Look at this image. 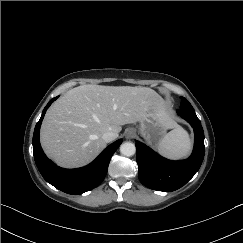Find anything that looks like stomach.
<instances>
[{
  "label": "stomach",
  "mask_w": 243,
  "mask_h": 243,
  "mask_svg": "<svg viewBox=\"0 0 243 243\" xmlns=\"http://www.w3.org/2000/svg\"><path fill=\"white\" fill-rule=\"evenodd\" d=\"M171 124L162 102L156 96L154 104L140 120L138 132L150 146L158 147Z\"/></svg>",
  "instance_id": "obj_1"
}]
</instances>
